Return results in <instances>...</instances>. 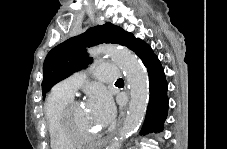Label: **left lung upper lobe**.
<instances>
[{
	"mask_svg": "<svg viewBox=\"0 0 227 149\" xmlns=\"http://www.w3.org/2000/svg\"><path fill=\"white\" fill-rule=\"evenodd\" d=\"M131 33L110 22L88 29L54 47L46 56L43 64V97L56 83L67 78L75 71L86 68L91 58L86 48L101 43H116L126 46Z\"/></svg>",
	"mask_w": 227,
	"mask_h": 149,
	"instance_id": "obj_1",
	"label": "left lung upper lobe"
}]
</instances>
